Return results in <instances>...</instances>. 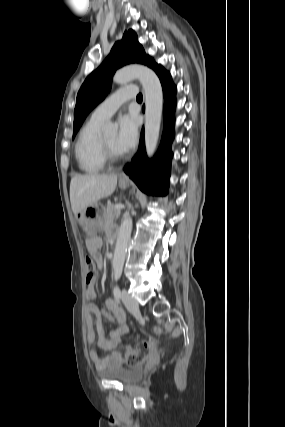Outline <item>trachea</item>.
<instances>
[{"label": "trachea", "mask_w": 285, "mask_h": 427, "mask_svg": "<svg viewBox=\"0 0 285 427\" xmlns=\"http://www.w3.org/2000/svg\"><path fill=\"white\" fill-rule=\"evenodd\" d=\"M142 98H143L142 94H138L137 97H136L137 100H142Z\"/></svg>", "instance_id": "3493384b"}]
</instances>
